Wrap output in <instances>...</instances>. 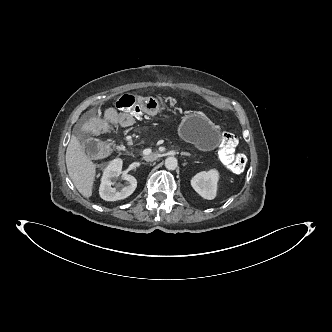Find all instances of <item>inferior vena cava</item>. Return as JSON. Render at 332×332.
<instances>
[{
  "label": "inferior vena cava",
  "instance_id": "inferior-vena-cava-1",
  "mask_svg": "<svg viewBox=\"0 0 332 332\" xmlns=\"http://www.w3.org/2000/svg\"><path fill=\"white\" fill-rule=\"evenodd\" d=\"M157 157H158V155L156 153H151L149 155H145L144 160L147 161V162H151V161L156 160Z\"/></svg>",
  "mask_w": 332,
  "mask_h": 332
}]
</instances>
